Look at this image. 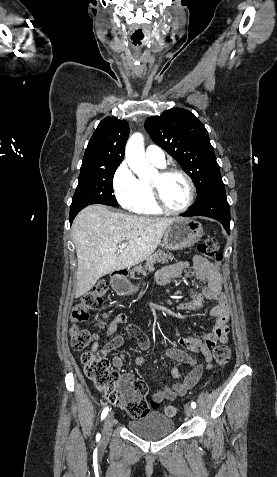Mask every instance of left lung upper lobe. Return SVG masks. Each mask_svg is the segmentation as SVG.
<instances>
[{
    "mask_svg": "<svg viewBox=\"0 0 277 477\" xmlns=\"http://www.w3.org/2000/svg\"><path fill=\"white\" fill-rule=\"evenodd\" d=\"M145 128L153 141L190 175L197 199L214 180L221 178L208 132L192 112L181 108L165 110L160 116L148 118Z\"/></svg>",
    "mask_w": 277,
    "mask_h": 477,
    "instance_id": "5c2ea615",
    "label": "left lung upper lobe"
}]
</instances>
